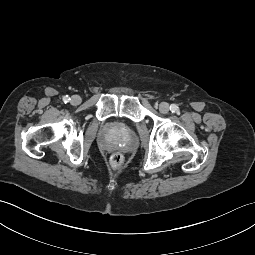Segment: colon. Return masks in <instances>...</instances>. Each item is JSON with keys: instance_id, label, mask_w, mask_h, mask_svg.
<instances>
[{"instance_id": "1", "label": "colon", "mask_w": 255, "mask_h": 255, "mask_svg": "<svg viewBox=\"0 0 255 255\" xmlns=\"http://www.w3.org/2000/svg\"><path fill=\"white\" fill-rule=\"evenodd\" d=\"M110 166L113 169H120L124 164V157L120 153H113L109 159Z\"/></svg>"}]
</instances>
